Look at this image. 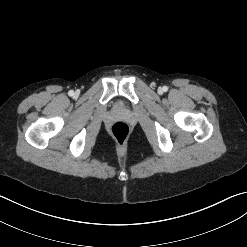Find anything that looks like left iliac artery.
Masks as SVG:
<instances>
[{
    "instance_id": "obj_1",
    "label": "left iliac artery",
    "mask_w": 247,
    "mask_h": 247,
    "mask_svg": "<svg viewBox=\"0 0 247 247\" xmlns=\"http://www.w3.org/2000/svg\"><path fill=\"white\" fill-rule=\"evenodd\" d=\"M163 91L166 92L168 90V87L167 86H163Z\"/></svg>"
}]
</instances>
